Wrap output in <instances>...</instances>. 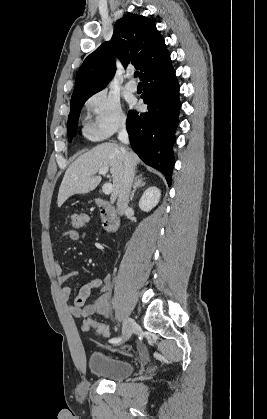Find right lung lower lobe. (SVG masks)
Here are the masks:
<instances>
[{
    "label": "right lung lower lobe",
    "mask_w": 267,
    "mask_h": 419,
    "mask_svg": "<svg viewBox=\"0 0 267 419\" xmlns=\"http://www.w3.org/2000/svg\"><path fill=\"white\" fill-rule=\"evenodd\" d=\"M142 98L148 111L130 110L127 131L134 152L149 166L162 172L171 185L175 164L173 145L179 124V85L171 61L155 68L142 79Z\"/></svg>",
    "instance_id": "1"
}]
</instances>
